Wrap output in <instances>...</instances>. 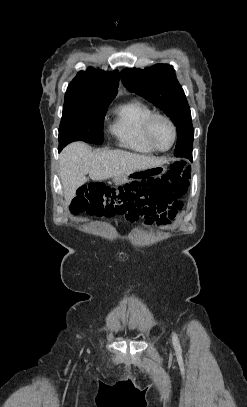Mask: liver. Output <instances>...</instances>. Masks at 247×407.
I'll use <instances>...</instances> for the list:
<instances>
[{"label":"liver","instance_id":"1","mask_svg":"<svg viewBox=\"0 0 247 407\" xmlns=\"http://www.w3.org/2000/svg\"><path fill=\"white\" fill-rule=\"evenodd\" d=\"M165 158L135 154L123 150L92 152L83 142H75L64 148L59 160V175L64 189L66 205L74 198L78 187L86 183V174L94 180L139 170H145L167 163Z\"/></svg>","mask_w":247,"mask_h":407}]
</instances>
